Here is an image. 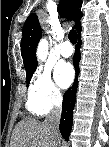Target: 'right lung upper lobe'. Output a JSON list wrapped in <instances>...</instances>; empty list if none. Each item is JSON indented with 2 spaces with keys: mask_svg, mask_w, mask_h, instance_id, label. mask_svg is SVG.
I'll return each mask as SVG.
<instances>
[{
  "mask_svg": "<svg viewBox=\"0 0 109 147\" xmlns=\"http://www.w3.org/2000/svg\"><path fill=\"white\" fill-rule=\"evenodd\" d=\"M81 6V0H61L59 5L60 15H66L71 20L75 21L76 24L74 28L77 31L81 29L80 19L83 15L80 11ZM22 34L21 54L27 72L37 67L35 52L38 41L41 38V27L36 14L32 13L28 16Z\"/></svg>",
  "mask_w": 109,
  "mask_h": 147,
  "instance_id": "obj_1",
  "label": "right lung upper lobe"
}]
</instances>
